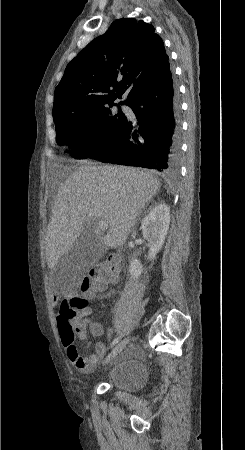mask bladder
<instances>
[{"label":"bladder","instance_id":"31cf9c89","mask_svg":"<svg viewBox=\"0 0 245 450\" xmlns=\"http://www.w3.org/2000/svg\"><path fill=\"white\" fill-rule=\"evenodd\" d=\"M146 379V368L140 360L116 362L107 374L105 383L115 390L125 393L138 391Z\"/></svg>","mask_w":245,"mask_h":450}]
</instances>
